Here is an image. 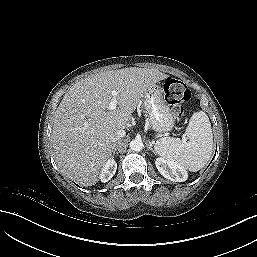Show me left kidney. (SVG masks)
Here are the masks:
<instances>
[{
	"label": "left kidney",
	"instance_id": "left-kidney-1",
	"mask_svg": "<svg viewBox=\"0 0 257 257\" xmlns=\"http://www.w3.org/2000/svg\"><path fill=\"white\" fill-rule=\"evenodd\" d=\"M155 164L160 174L166 179L174 182H184L188 178L185 168L176 162L160 157L156 159Z\"/></svg>",
	"mask_w": 257,
	"mask_h": 257
}]
</instances>
